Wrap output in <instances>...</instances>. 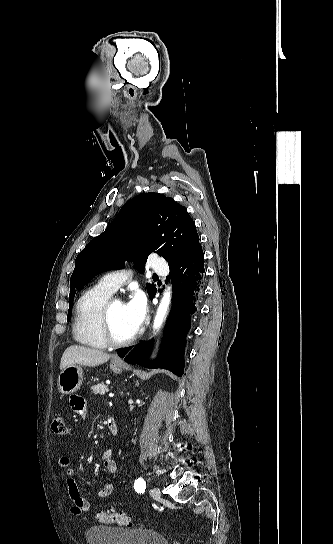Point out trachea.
<instances>
[{
	"mask_svg": "<svg viewBox=\"0 0 333 544\" xmlns=\"http://www.w3.org/2000/svg\"><path fill=\"white\" fill-rule=\"evenodd\" d=\"M153 277H155V278H158V276H157V275H154Z\"/></svg>",
	"mask_w": 333,
	"mask_h": 544,
	"instance_id": "trachea-1",
	"label": "trachea"
}]
</instances>
